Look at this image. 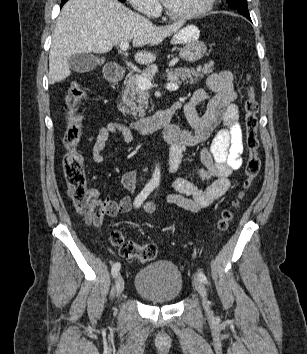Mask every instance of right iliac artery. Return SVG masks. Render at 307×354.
Instances as JSON below:
<instances>
[{"label": "right iliac artery", "instance_id": "1", "mask_svg": "<svg viewBox=\"0 0 307 354\" xmlns=\"http://www.w3.org/2000/svg\"><path fill=\"white\" fill-rule=\"evenodd\" d=\"M155 185L148 183L143 190L137 195V197L134 200V207L138 208L143 202L144 200L149 196V194L153 191ZM121 268V264L119 262H116L113 264L112 269H111V273L112 276L115 277L118 275V272Z\"/></svg>", "mask_w": 307, "mask_h": 354}]
</instances>
